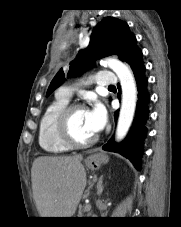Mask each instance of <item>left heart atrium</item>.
Listing matches in <instances>:
<instances>
[{
	"instance_id": "39dd6f15",
	"label": "left heart atrium",
	"mask_w": 181,
	"mask_h": 227,
	"mask_svg": "<svg viewBox=\"0 0 181 227\" xmlns=\"http://www.w3.org/2000/svg\"><path fill=\"white\" fill-rule=\"evenodd\" d=\"M88 120L95 133L100 131L106 122L104 107L101 104H97L91 110H88Z\"/></svg>"
}]
</instances>
